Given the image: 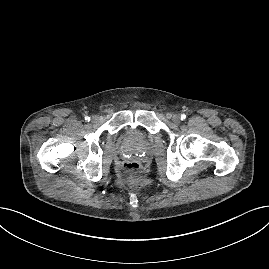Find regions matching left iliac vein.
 Instances as JSON below:
<instances>
[{"instance_id": "left-iliac-vein-1", "label": "left iliac vein", "mask_w": 269, "mask_h": 269, "mask_svg": "<svg viewBox=\"0 0 269 269\" xmlns=\"http://www.w3.org/2000/svg\"><path fill=\"white\" fill-rule=\"evenodd\" d=\"M172 121L175 123V124H178L180 122V116L175 114L172 116Z\"/></svg>"}]
</instances>
